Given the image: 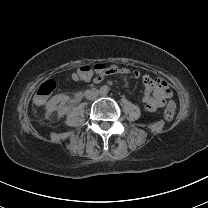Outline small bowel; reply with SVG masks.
Segmentation results:
<instances>
[{"label": "small bowel", "mask_w": 208, "mask_h": 208, "mask_svg": "<svg viewBox=\"0 0 208 208\" xmlns=\"http://www.w3.org/2000/svg\"><path fill=\"white\" fill-rule=\"evenodd\" d=\"M128 73H129V69L125 67L122 68L110 67L106 71L104 69H99L97 78H94V81L96 83H99L101 80L104 79L105 74L126 75ZM134 75L136 77H140V72L135 71ZM143 82L146 87V93L142 100L148 111L152 112L161 108L164 105L166 99L172 96V91L168 87L167 83L161 78H153L149 75H145L143 77ZM80 83H72V84H80Z\"/></svg>", "instance_id": "1"}]
</instances>
